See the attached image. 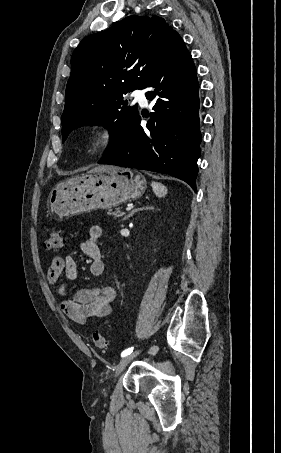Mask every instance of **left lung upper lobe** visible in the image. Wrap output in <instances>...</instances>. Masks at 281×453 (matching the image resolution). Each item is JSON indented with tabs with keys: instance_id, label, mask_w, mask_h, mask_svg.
I'll use <instances>...</instances> for the list:
<instances>
[{
	"instance_id": "left-lung-upper-lobe-1",
	"label": "left lung upper lobe",
	"mask_w": 281,
	"mask_h": 453,
	"mask_svg": "<svg viewBox=\"0 0 281 453\" xmlns=\"http://www.w3.org/2000/svg\"><path fill=\"white\" fill-rule=\"evenodd\" d=\"M177 35L161 17L129 16L85 37L71 57L62 141L75 128L104 125L111 132L105 154L117 145L138 116L123 95L147 87Z\"/></svg>"
}]
</instances>
